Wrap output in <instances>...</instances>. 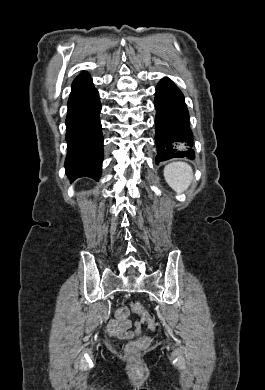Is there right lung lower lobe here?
Masks as SVG:
<instances>
[{"label": "right lung lower lobe", "mask_w": 265, "mask_h": 390, "mask_svg": "<svg viewBox=\"0 0 265 390\" xmlns=\"http://www.w3.org/2000/svg\"><path fill=\"white\" fill-rule=\"evenodd\" d=\"M99 93L87 72L72 84L66 117V174L71 179L90 177L99 180L103 160V137L99 113Z\"/></svg>", "instance_id": "98d812e1"}]
</instances>
